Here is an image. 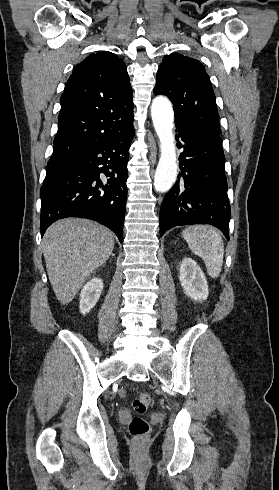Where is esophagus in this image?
<instances>
[{
  "mask_svg": "<svg viewBox=\"0 0 279 490\" xmlns=\"http://www.w3.org/2000/svg\"><path fill=\"white\" fill-rule=\"evenodd\" d=\"M156 157L153 158V163L155 162Z\"/></svg>",
  "mask_w": 279,
  "mask_h": 490,
  "instance_id": "esophagus-1",
  "label": "esophagus"
}]
</instances>
